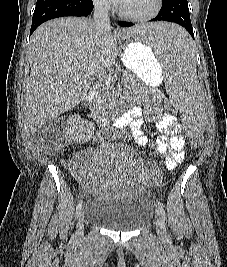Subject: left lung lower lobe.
<instances>
[{"instance_id":"left-lung-lower-lobe-1","label":"left lung lower lobe","mask_w":227,"mask_h":267,"mask_svg":"<svg viewBox=\"0 0 227 267\" xmlns=\"http://www.w3.org/2000/svg\"><path fill=\"white\" fill-rule=\"evenodd\" d=\"M162 2L163 5L160 12L150 21H168L177 23L183 26L194 39L187 0H162ZM119 25L122 27H130L134 24L129 22H119ZM173 45L177 51L179 49L191 47V44L189 43H181L176 40H174Z\"/></svg>"}]
</instances>
